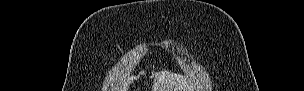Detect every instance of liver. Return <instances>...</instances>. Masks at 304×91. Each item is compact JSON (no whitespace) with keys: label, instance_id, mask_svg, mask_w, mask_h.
<instances>
[{"label":"liver","instance_id":"1","mask_svg":"<svg viewBox=\"0 0 304 91\" xmlns=\"http://www.w3.org/2000/svg\"><path fill=\"white\" fill-rule=\"evenodd\" d=\"M152 77L156 80L152 91H194L193 83L187 76L164 70L153 72ZM129 82V78H125L119 91H128Z\"/></svg>","mask_w":304,"mask_h":91}]
</instances>
